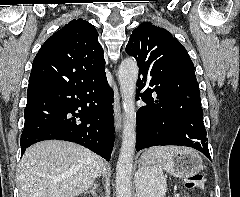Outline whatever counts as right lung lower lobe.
I'll return each mask as SVG.
<instances>
[{
    "mask_svg": "<svg viewBox=\"0 0 240 197\" xmlns=\"http://www.w3.org/2000/svg\"><path fill=\"white\" fill-rule=\"evenodd\" d=\"M112 103L106 74L83 84L27 92L21 155L36 142L58 139L78 143L109 161L114 145Z\"/></svg>",
    "mask_w": 240,
    "mask_h": 197,
    "instance_id": "1",
    "label": "right lung lower lobe"
}]
</instances>
